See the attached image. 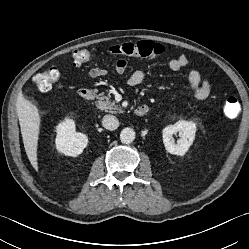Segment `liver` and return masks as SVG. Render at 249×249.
<instances>
[{
    "label": "liver",
    "mask_w": 249,
    "mask_h": 249,
    "mask_svg": "<svg viewBox=\"0 0 249 249\" xmlns=\"http://www.w3.org/2000/svg\"><path fill=\"white\" fill-rule=\"evenodd\" d=\"M16 106L27 157L33 168L38 171L37 149L41 124L39 110L22 94L19 95Z\"/></svg>",
    "instance_id": "obj_1"
}]
</instances>
